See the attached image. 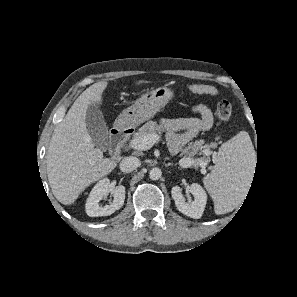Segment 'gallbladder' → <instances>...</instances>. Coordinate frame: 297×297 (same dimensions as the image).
I'll list each match as a JSON object with an SVG mask.
<instances>
[{
	"label": "gallbladder",
	"instance_id": "bac80fb5",
	"mask_svg": "<svg viewBox=\"0 0 297 297\" xmlns=\"http://www.w3.org/2000/svg\"><path fill=\"white\" fill-rule=\"evenodd\" d=\"M85 121L93 143L105 151L108 146V127L95 103L89 104Z\"/></svg>",
	"mask_w": 297,
	"mask_h": 297
}]
</instances>
